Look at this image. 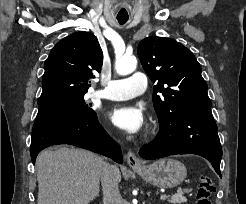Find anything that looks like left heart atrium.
Segmentation results:
<instances>
[{
    "label": "left heart atrium",
    "mask_w": 246,
    "mask_h": 204,
    "mask_svg": "<svg viewBox=\"0 0 246 204\" xmlns=\"http://www.w3.org/2000/svg\"><path fill=\"white\" fill-rule=\"evenodd\" d=\"M110 121L128 133L139 132L145 123V118L141 108L135 105H118L107 113Z\"/></svg>",
    "instance_id": "1"
}]
</instances>
